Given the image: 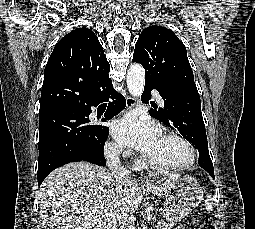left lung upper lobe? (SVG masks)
Instances as JSON below:
<instances>
[{
    "label": "left lung upper lobe",
    "instance_id": "5c2ea615",
    "mask_svg": "<svg viewBox=\"0 0 255 229\" xmlns=\"http://www.w3.org/2000/svg\"><path fill=\"white\" fill-rule=\"evenodd\" d=\"M133 62H138L144 67L145 82L171 87L183 94L199 97L186 48L171 30L157 25L143 30L135 45ZM155 113L161 122L176 129V126L168 124L169 116L165 107L159 108ZM180 133L198 150L202 147L208 148L206 136Z\"/></svg>",
    "mask_w": 255,
    "mask_h": 229
}]
</instances>
